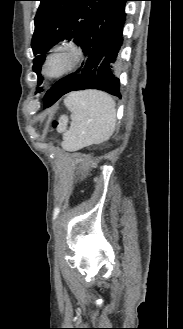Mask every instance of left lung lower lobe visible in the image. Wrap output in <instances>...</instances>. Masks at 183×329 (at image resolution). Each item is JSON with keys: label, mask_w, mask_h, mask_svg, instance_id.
Masks as SVG:
<instances>
[{"label": "left lung lower lobe", "mask_w": 183, "mask_h": 329, "mask_svg": "<svg viewBox=\"0 0 183 329\" xmlns=\"http://www.w3.org/2000/svg\"><path fill=\"white\" fill-rule=\"evenodd\" d=\"M127 1L131 0H116L88 27L79 44L85 55L84 62L76 72L60 79L46 92L45 107L74 90L99 89L121 97L118 55L123 43Z\"/></svg>", "instance_id": "1"}]
</instances>
